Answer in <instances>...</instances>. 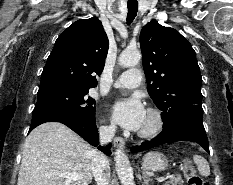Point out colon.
<instances>
[{
    "label": "colon",
    "mask_w": 233,
    "mask_h": 185,
    "mask_svg": "<svg viewBox=\"0 0 233 185\" xmlns=\"http://www.w3.org/2000/svg\"><path fill=\"white\" fill-rule=\"evenodd\" d=\"M183 172L188 181V185H207L189 161L183 164Z\"/></svg>",
    "instance_id": "obj_1"
}]
</instances>
